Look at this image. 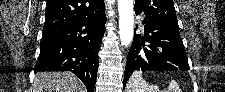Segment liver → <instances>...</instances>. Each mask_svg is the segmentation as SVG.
I'll use <instances>...</instances> for the list:
<instances>
[{
	"instance_id": "liver-1",
	"label": "liver",
	"mask_w": 225,
	"mask_h": 92,
	"mask_svg": "<svg viewBox=\"0 0 225 92\" xmlns=\"http://www.w3.org/2000/svg\"><path fill=\"white\" fill-rule=\"evenodd\" d=\"M32 92H85L83 83L69 72L37 73Z\"/></svg>"
}]
</instances>
